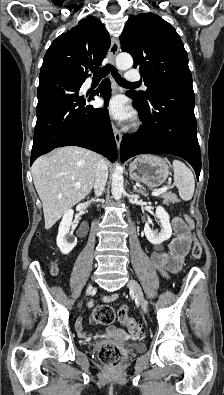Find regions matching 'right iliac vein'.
<instances>
[{
	"label": "right iliac vein",
	"instance_id": "63e3f726",
	"mask_svg": "<svg viewBox=\"0 0 224 395\" xmlns=\"http://www.w3.org/2000/svg\"><path fill=\"white\" fill-rule=\"evenodd\" d=\"M92 289H93L92 284H89L88 287H87L86 293H87V294H90L91 291H92Z\"/></svg>",
	"mask_w": 224,
	"mask_h": 395
}]
</instances>
